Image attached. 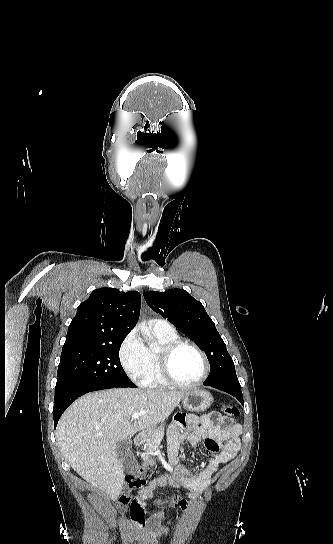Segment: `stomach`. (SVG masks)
Listing matches in <instances>:
<instances>
[{"label": "stomach", "mask_w": 333, "mask_h": 544, "mask_svg": "<svg viewBox=\"0 0 333 544\" xmlns=\"http://www.w3.org/2000/svg\"><path fill=\"white\" fill-rule=\"evenodd\" d=\"M213 402L211 394L205 390H192L182 399L183 407L191 412L207 410ZM152 430H148V433Z\"/></svg>", "instance_id": "obj_1"}]
</instances>
